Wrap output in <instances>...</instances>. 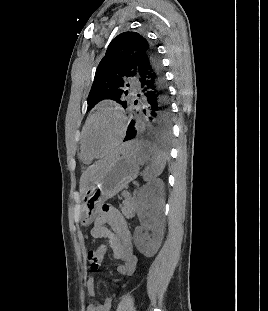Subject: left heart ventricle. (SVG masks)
Listing matches in <instances>:
<instances>
[{"instance_id":"obj_1","label":"left heart ventricle","mask_w":268,"mask_h":311,"mask_svg":"<svg viewBox=\"0 0 268 311\" xmlns=\"http://www.w3.org/2000/svg\"><path fill=\"white\" fill-rule=\"evenodd\" d=\"M119 134L117 117L104 112L90 123L86 134V145L93 154H102L113 144Z\"/></svg>"}]
</instances>
